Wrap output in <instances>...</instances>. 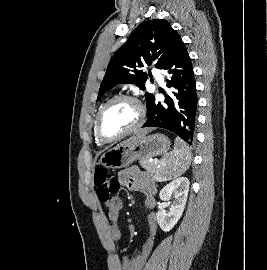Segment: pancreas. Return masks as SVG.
Returning <instances> with one entry per match:
<instances>
[{
    "label": "pancreas",
    "mask_w": 267,
    "mask_h": 270,
    "mask_svg": "<svg viewBox=\"0 0 267 270\" xmlns=\"http://www.w3.org/2000/svg\"><path fill=\"white\" fill-rule=\"evenodd\" d=\"M140 166L144 168L149 174L153 176L154 180L159 179L160 170L158 169V163L150 162L149 160H140Z\"/></svg>",
    "instance_id": "cf45deb5"
}]
</instances>
